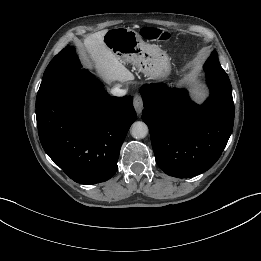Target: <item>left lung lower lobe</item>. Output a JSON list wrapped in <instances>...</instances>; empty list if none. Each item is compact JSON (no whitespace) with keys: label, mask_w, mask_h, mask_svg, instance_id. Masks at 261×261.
Returning a JSON list of instances; mask_svg holds the SVG:
<instances>
[{"label":"left lung lower lobe","mask_w":261,"mask_h":261,"mask_svg":"<svg viewBox=\"0 0 261 261\" xmlns=\"http://www.w3.org/2000/svg\"><path fill=\"white\" fill-rule=\"evenodd\" d=\"M210 97L192 103L185 90L144 85L143 121L148 125L155 159L168 175L188 178L210 169L232 133L234 103L228 75L218 58L204 65Z\"/></svg>","instance_id":"left-lung-lower-lobe-1"}]
</instances>
